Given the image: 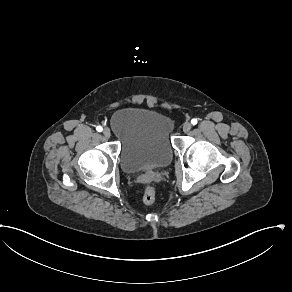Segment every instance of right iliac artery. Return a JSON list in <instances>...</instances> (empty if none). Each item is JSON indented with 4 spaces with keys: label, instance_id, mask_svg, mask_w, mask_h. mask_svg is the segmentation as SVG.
I'll use <instances>...</instances> for the list:
<instances>
[{
    "label": "right iliac artery",
    "instance_id": "1",
    "mask_svg": "<svg viewBox=\"0 0 292 292\" xmlns=\"http://www.w3.org/2000/svg\"><path fill=\"white\" fill-rule=\"evenodd\" d=\"M96 130H97L98 132H101V131L103 130V128H102V126H97V127H96Z\"/></svg>",
    "mask_w": 292,
    "mask_h": 292
}]
</instances>
